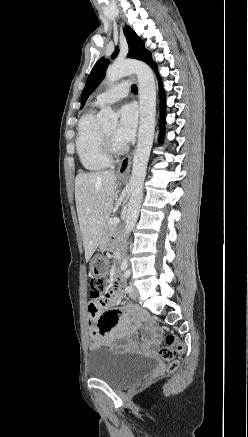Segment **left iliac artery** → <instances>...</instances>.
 I'll list each match as a JSON object with an SVG mask.
<instances>
[{"instance_id": "44dca946", "label": "left iliac artery", "mask_w": 248, "mask_h": 437, "mask_svg": "<svg viewBox=\"0 0 248 437\" xmlns=\"http://www.w3.org/2000/svg\"><path fill=\"white\" fill-rule=\"evenodd\" d=\"M129 276H130V271H129V270L125 271L123 277H124L125 279H127ZM125 291H126L127 293H130V292L132 291V287H131V286H127V287L125 288Z\"/></svg>"}]
</instances>
